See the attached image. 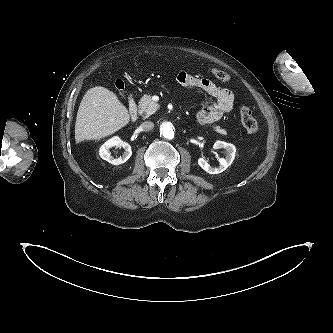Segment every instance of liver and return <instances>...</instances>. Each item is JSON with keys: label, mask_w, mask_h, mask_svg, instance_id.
<instances>
[{"label": "liver", "mask_w": 333, "mask_h": 333, "mask_svg": "<svg viewBox=\"0 0 333 333\" xmlns=\"http://www.w3.org/2000/svg\"><path fill=\"white\" fill-rule=\"evenodd\" d=\"M129 121L127 108L114 92L101 86L90 88L77 112L76 143L109 136L126 126Z\"/></svg>", "instance_id": "liver-1"}]
</instances>
